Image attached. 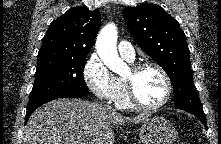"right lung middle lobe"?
Instances as JSON below:
<instances>
[{
  "instance_id": "obj_1",
  "label": "right lung middle lobe",
  "mask_w": 221,
  "mask_h": 144,
  "mask_svg": "<svg viewBox=\"0 0 221 144\" xmlns=\"http://www.w3.org/2000/svg\"><path fill=\"white\" fill-rule=\"evenodd\" d=\"M86 57H38L35 83L27 108L38 105L51 95L64 91L89 93L83 77Z\"/></svg>"
}]
</instances>
